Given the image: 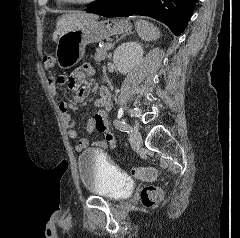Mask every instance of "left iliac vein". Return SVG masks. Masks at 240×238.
<instances>
[{"label": "left iliac vein", "mask_w": 240, "mask_h": 238, "mask_svg": "<svg viewBox=\"0 0 240 238\" xmlns=\"http://www.w3.org/2000/svg\"><path fill=\"white\" fill-rule=\"evenodd\" d=\"M129 141L134 148H139L142 145V137L137 128H133L129 133Z\"/></svg>", "instance_id": "obj_1"}]
</instances>
